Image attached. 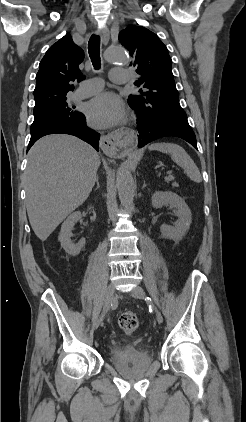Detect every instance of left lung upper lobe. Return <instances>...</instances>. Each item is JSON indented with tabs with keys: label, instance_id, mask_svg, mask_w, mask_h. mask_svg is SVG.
I'll return each mask as SVG.
<instances>
[{
	"label": "left lung upper lobe",
	"instance_id": "obj_1",
	"mask_svg": "<svg viewBox=\"0 0 246 422\" xmlns=\"http://www.w3.org/2000/svg\"><path fill=\"white\" fill-rule=\"evenodd\" d=\"M119 42L132 57L131 66L139 74L138 94L130 95L129 105L144 119L187 118L171 70L172 60L158 36L145 27L128 26L119 33Z\"/></svg>",
	"mask_w": 246,
	"mask_h": 422
}]
</instances>
